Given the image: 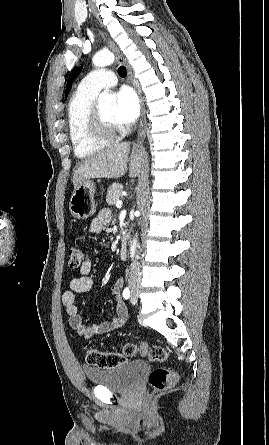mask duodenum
<instances>
[{
    "instance_id": "1",
    "label": "duodenum",
    "mask_w": 269,
    "mask_h": 445,
    "mask_svg": "<svg viewBox=\"0 0 269 445\" xmlns=\"http://www.w3.org/2000/svg\"><path fill=\"white\" fill-rule=\"evenodd\" d=\"M127 253H128L127 242L125 240H123L121 242V245H120V248H119L120 257L122 259H126L127 258Z\"/></svg>"
}]
</instances>
